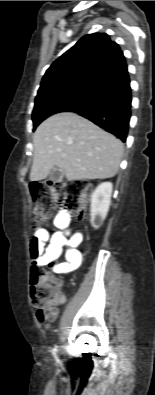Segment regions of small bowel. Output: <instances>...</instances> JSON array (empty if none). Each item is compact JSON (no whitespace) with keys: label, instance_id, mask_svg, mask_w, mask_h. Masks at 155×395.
Wrapping results in <instances>:
<instances>
[{"label":"small bowel","instance_id":"c3829d8e","mask_svg":"<svg viewBox=\"0 0 155 395\" xmlns=\"http://www.w3.org/2000/svg\"><path fill=\"white\" fill-rule=\"evenodd\" d=\"M70 215L59 211L53 221V231L38 229L34 237L29 240L28 260H32V266H48L56 261L67 247L65 261L56 264L52 270L55 273L65 274L76 270L82 263V252L79 248L82 242L81 234L69 235ZM47 244V246H46ZM58 309L43 310L36 312L40 322L49 323L55 320Z\"/></svg>","mask_w":155,"mask_h":395}]
</instances>
